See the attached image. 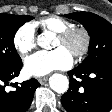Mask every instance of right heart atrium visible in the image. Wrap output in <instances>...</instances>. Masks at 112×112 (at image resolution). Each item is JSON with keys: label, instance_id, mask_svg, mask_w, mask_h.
Instances as JSON below:
<instances>
[{"label": "right heart atrium", "instance_id": "1", "mask_svg": "<svg viewBox=\"0 0 112 112\" xmlns=\"http://www.w3.org/2000/svg\"><path fill=\"white\" fill-rule=\"evenodd\" d=\"M13 45L23 56L30 53L36 47V33L34 25L31 23H25L20 26L13 36Z\"/></svg>", "mask_w": 112, "mask_h": 112}]
</instances>
